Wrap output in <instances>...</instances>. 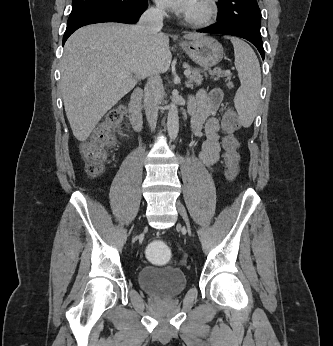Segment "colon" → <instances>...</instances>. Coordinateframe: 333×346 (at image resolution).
Segmentation results:
<instances>
[{
  "instance_id": "obj_1",
  "label": "colon",
  "mask_w": 333,
  "mask_h": 346,
  "mask_svg": "<svg viewBox=\"0 0 333 346\" xmlns=\"http://www.w3.org/2000/svg\"><path fill=\"white\" fill-rule=\"evenodd\" d=\"M124 106L109 111L104 122L94 132L92 138L81 146V154L86 165V170L91 176L99 175L108 157L109 149L114 145V135L122 116L125 114ZM239 127V118L233 109H228L223 116L224 165L226 176L235 179L239 171L238 141L234 135ZM146 251L144 258L150 260L154 268H168L173 259V254L168 249L165 240H150V244L144 245Z\"/></svg>"
}]
</instances>
